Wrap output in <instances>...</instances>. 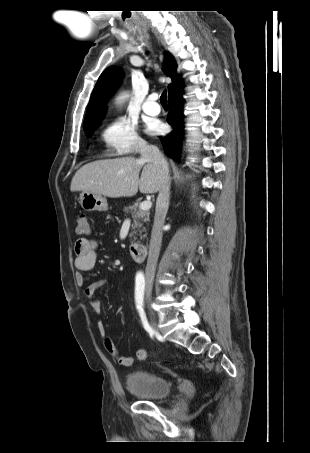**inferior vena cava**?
<instances>
[{"mask_svg":"<svg viewBox=\"0 0 310 453\" xmlns=\"http://www.w3.org/2000/svg\"><path fill=\"white\" fill-rule=\"evenodd\" d=\"M141 160L145 162H152L155 166L162 170V185L156 201V210L154 216V223L152 227L151 240L149 246V254L147 265L145 269L146 277H154L155 269L160 253L162 243V228L164 220L169 207L170 196V176L168 162L154 145L143 144L140 149Z\"/></svg>","mask_w":310,"mask_h":453,"instance_id":"602c4592","label":"inferior vena cava"}]
</instances>
